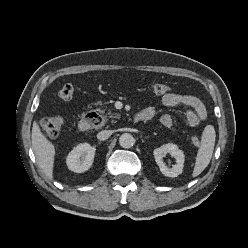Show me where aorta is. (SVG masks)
Returning <instances> with one entry per match:
<instances>
[{
    "mask_svg": "<svg viewBox=\"0 0 248 248\" xmlns=\"http://www.w3.org/2000/svg\"><path fill=\"white\" fill-rule=\"evenodd\" d=\"M134 143H135V139L129 133H123L119 137V144L122 148H130L134 145Z\"/></svg>",
    "mask_w": 248,
    "mask_h": 248,
    "instance_id": "aorta-1",
    "label": "aorta"
}]
</instances>
